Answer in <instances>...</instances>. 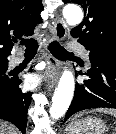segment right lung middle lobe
<instances>
[{"mask_svg":"<svg viewBox=\"0 0 116 134\" xmlns=\"http://www.w3.org/2000/svg\"><path fill=\"white\" fill-rule=\"evenodd\" d=\"M7 69L8 62H0V90L9 88L14 82V78L10 79L8 75L5 74Z\"/></svg>","mask_w":116,"mask_h":134,"instance_id":"right-lung-middle-lobe-1","label":"right lung middle lobe"}]
</instances>
